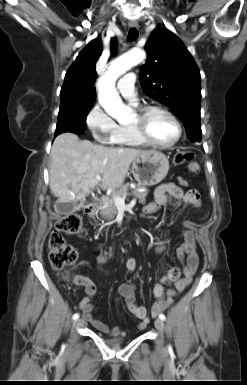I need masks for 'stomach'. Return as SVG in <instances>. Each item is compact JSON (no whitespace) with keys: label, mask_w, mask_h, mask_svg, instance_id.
Wrapping results in <instances>:
<instances>
[{"label":"stomach","mask_w":247,"mask_h":385,"mask_svg":"<svg viewBox=\"0 0 247 385\" xmlns=\"http://www.w3.org/2000/svg\"><path fill=\"white\" fill-rule=\"evenodd\" d=\"M168 170V158L159 151H145L132 161L131 172L140 186H153L160 183L166 177Z\"/></svg>","instance_id":"1"}]
</instances>
